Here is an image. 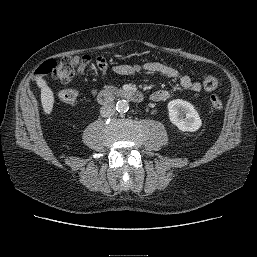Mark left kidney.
Wrapping results in <instances>:
<instances>
[{"instance_id":"obj_1","label":"left kidney","mask_w":257,"mask_h":257,"mask_svg":"<svg viewBox=\"0 0 257 257\" xmlns=\"http://www.w3.org/2000/svg\"><path fill=\"white\" fill-rule=\"evenodd\" d=\"M169 120L183 132H195L202 121L197 110L188 101L175 99L168 103Z\"/></svg>"}]
</instances>
